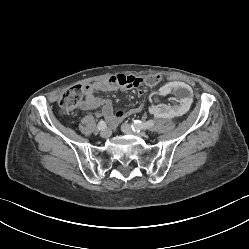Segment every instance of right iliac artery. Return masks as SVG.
<instances>
[{
	"label": "right iliac artery",
	"instance_id": "1",
	"mask_svg": "<svg viewBox=\"0 0 249 249\" xmlns=\"http://www.w3.org/2000/svg\"><path fill=\"white\" fill-rule=\"evenodd\" d=\"M106 128V123L103 121V120H101L99 123H98V129L99 130H103V129H105Z\"/></svg>",
	"mask_w": 249,
	"mask_h": 249
}]
</instances>
